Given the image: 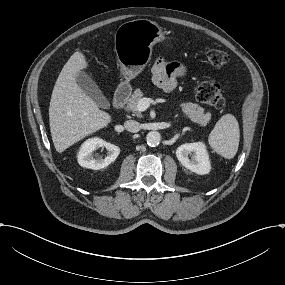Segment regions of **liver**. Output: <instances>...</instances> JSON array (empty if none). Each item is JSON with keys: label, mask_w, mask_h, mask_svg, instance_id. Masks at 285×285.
<instances>
[{"label": "liver", "mask_w": 285, "mask_h": 285, "mask_svg": "<svg viewBox=\"0 0 285 285\" xmlns=\"http://www.w3.org/2000/svg\"><path fill=\"white\" fill-rule=\"evenodd\" d=\"M90 69L84 52L76 50L64 65L53 89L50 131L55 150L62 154L79 141L106 128L113 120L77 83L79 73Z\"/></svg>", "instance_id": "6515ba94"}]
</instances>
